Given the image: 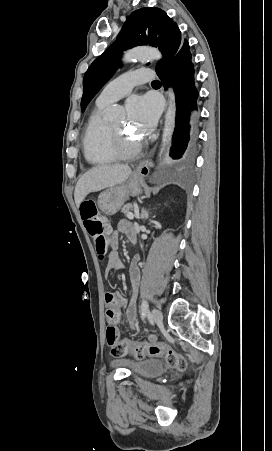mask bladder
<instances>
[{"label": "bladder", "mask_w": 272, "mask_h": 451, "mask_svg": "<svg viewBox=\"0 0 272 451\" xmlns=\"http://www.w3.org/2000/svg\"><path fill=\"white\" fill-rule=\"evenodd\" d=\"M130 366L133 374H145L150 376L160 375L163 372V360L160 359H144L135 360L132 357H120L113 360V366Z\"/></svg>", "instance_id": "obj_1"}]
</instances>
